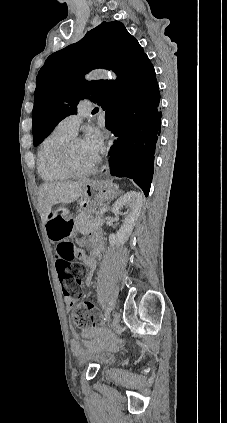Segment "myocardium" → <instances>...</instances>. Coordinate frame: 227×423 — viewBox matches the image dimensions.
<instances>
[{
    "mask_svg": "<svg viewBox=\"0 0 227 423\" xmlns=\"http://www.w3.org/2000/svg\"><path fill=\"white\" fill-rule=\"evenodd\" d=\"M78 142H84L80 137H72L66 141L60 148L58 152V161L61 169L68 177L79 178L83 176L90 175L96 169L95 165H92L86 170L76 171L71 164V150L73 146Z\"/></svg>",
    "mask_w": 227,
    "mask_h": 423,
    "instance_id": "f54148a6",
    "label": "myocardium"
}]
</instances>
